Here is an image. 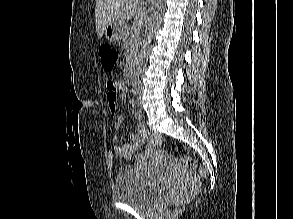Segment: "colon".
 I'll list each match as a JSON object with an SVG mask.
<instances>
[{"mask_svg":"<svg viewBox=\"0 0 293 219\" xmlns=\"http://www.w3.org/2000/svg\"><path fill=\"white\" fill-rule=\"evenodd\" d=\"M102 66L106 71H112L119 61V53L110 45H105L100 49ZM162 137L158 133L152 132L147 135V148H154L162 143ZM179 165L187 171L198 172L201 180L207 178V171L204 168H198L195 160L188 156L179 159Z\"/></svg>","mask_w":293,"mask_h":219,"instance_id":"obj_1","label":"colon"}]
</instances>
